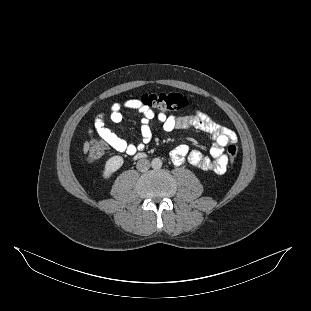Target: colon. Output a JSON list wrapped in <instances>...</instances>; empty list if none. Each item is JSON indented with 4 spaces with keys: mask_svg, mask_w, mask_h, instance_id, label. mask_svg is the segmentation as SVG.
<instances>
[{
    "mask_svg": "<svg viewBox=\"0 0 311 311\" xmlns=\"http://www.w3.org/2000/svg\"><path fill=\"white\" fill-rule=\"evenodd\" d=\"M141 101L150 108L157 109L161 112H176L186 108L189 104V100L174 92L167 93H151L144 94L141 97ZM106 151V145L103 142H95L89 149L87 159L89 162H95L99 160ZM228 157L231 163H233L238 155L237 146L232 143L227 148Z\"/></svg>",
    "mask_w": 311,
    "mask_h": 311,
    "instance_id": "1",
    "label": "colon"
}]
</instances>
